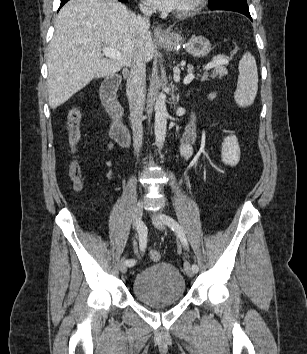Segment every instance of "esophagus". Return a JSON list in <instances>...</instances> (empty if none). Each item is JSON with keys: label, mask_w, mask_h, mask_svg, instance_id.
Listing matches in <instances>:
<instances>
[{"label": "esophagus", "mask_w": 307, "mask_h": 354, "mask_svg": "<svg viewBox=\"0 0 307 354\" xmlns=\"http://www.w3.org/2000/svg\"><path fill=\"white\" fill-rule=\"evenodd\" d=\"M153 35L156 40H164L167 38V33L161 25L154 28Z\"/></svg>", "instance_id": "esophagus-1"}]
</instances>
